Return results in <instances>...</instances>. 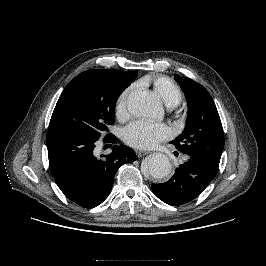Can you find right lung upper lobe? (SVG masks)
Returning <instances> with one entry per match:
<instances>
[{"instance_id": "obj_1", "label": "right lung upper lobe", "mask_w": 266, "mask_h": 266, "mask_svg": "<svg viewBox=\"0 0 266 266\" xmlns=\"http://www.w3.org/2000/svg\"><path fill=\"white\" fill-rule=\"evenodd\" d=\"M112 70V69H110ZM116 71L117 73L121 74V75H124V76H127V77H130L132 75H134L135 72H125V71H120V70H114Z\"/></svg>"}]
</instances>
